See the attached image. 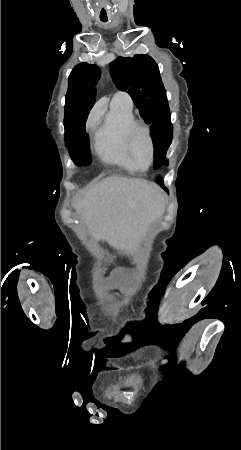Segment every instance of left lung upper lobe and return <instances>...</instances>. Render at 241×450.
Instances as JSON below:
<instances>
[{"label":"left lung upper lobe","mask_w":241,"mask_h":450,"mask_svg":"<svg viewBox=\"0 0 241 450\" xmlns=\"http://www.w3.org/2000/svg\"><path fill=\"white\" fill-rule=\"evenodd\" d=\"M110 73L120 90H127L141 116L151 124L154 144V168L167 165L166 151L172 137V124L159 68L148 55L118 57L110 63Z\"/></svg>","instance_id":"1"}]
</instances>
